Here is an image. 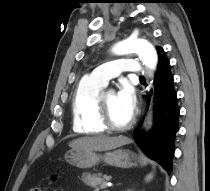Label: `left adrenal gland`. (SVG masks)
I'll list each match as a JSON object with an SVG mask.
<instances>
[{
	"label": "left adrenal gland",
	"mask_w": 210,
	"mask_h": 191,
	"mask_svg": "<svg viewBox=\"0 0 210 191\" xmlns=\"http://www.w3.org/2000/svg\"><path fill=\"white\" fill-rule=\"evenodd\" d=\"M127 191H133V190H131V189H128Z\"/></svg>",
	"instance_id": "left-adrenal-gland-1"
}]
</instances>
